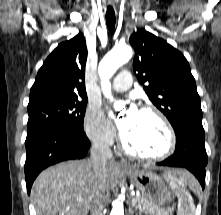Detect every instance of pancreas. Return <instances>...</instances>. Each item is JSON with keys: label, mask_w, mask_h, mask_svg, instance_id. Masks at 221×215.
<instances>
[{"label": "pancreas", "mask_w": 221, "mask_h": 215, "mask_svg": "<svg viewBox=\"0 0 221 215\" xmlns=\"http://www.w3.org/2000/svg\"><path fill=\"white\" fill-rule=\"evenodd\" d=\"M133 199L137 201L133 205H135L136 210L140 213L144 212L148 215H171L168 211L161 209L143 196H134Z\"/></svg>", "instance_id": "pancreas-1"}]
</instances>
